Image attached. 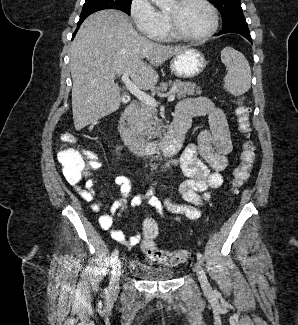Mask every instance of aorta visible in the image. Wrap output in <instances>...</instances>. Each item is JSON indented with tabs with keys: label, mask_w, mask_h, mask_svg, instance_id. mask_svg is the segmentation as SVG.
<instances>
[{
	"label": "aorta",
	"mask_w": 298,
	"mask_h": 325,
	"mask_svg": "<svg viewBox=\"0 0 298 325\" xmlns=\"http://www.w3.org/2000/svg\"><path fill=\"white\" fill-rule=\"evenodd\" d=\"M150 2H154L158 8H172V6H175L176 0H150Z\"/></svg>",
	"instance_id": "1"
}]
</instances>
